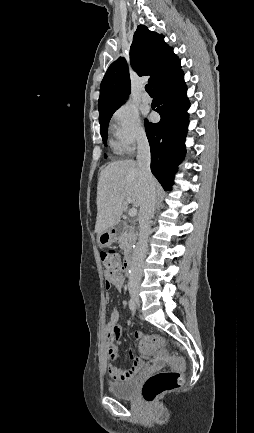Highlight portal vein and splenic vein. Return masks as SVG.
<instances>
[{
	"mask_svg": "<svg viewBox=\"0 0 254 433\" xmlns=\"http://www.w3.org/2000/svg\"><path fill=\"white\" fill-rule=\"evenodd\" d=\"M126 202H127V203H132L131 198H130V197H126ZM128 214H129V216H131V217L136 216V214H137V209H136V208H131V209L129 210Z\"/></svg>",
	"mask_w": 254,
	"mask_h": 433,
	"instance_id": "1",
	"label": "portal vein and splenic vein"
}]
</instances>
